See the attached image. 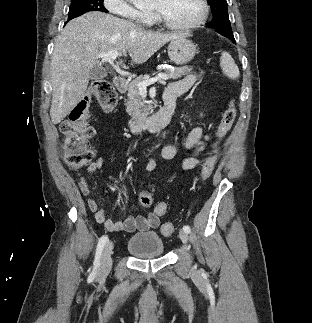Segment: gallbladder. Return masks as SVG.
<instances>
[{"instance_id":"bac80fb5","label":"gallbladder","mask_w":312,"mask_h":323,"mask_svg":"<svg viewBox=\"0 0 312 323\" xmlns=\"http://www.w3.org/2000/svg\"><path fill=\"white\" fill-rule=\"evenodd\" d=\"M107 72L102 66H94L93 70L90 72L91 80H101V78H106Z\"/></svg>"}]
</instances>
